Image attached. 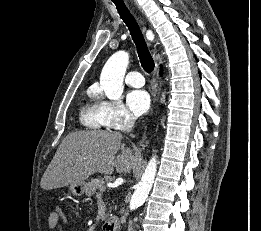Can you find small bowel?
<instances>
[{
    "label": "small bowel",
    "instance_id": "c3829d8e",
    "mask_svg": "<svg viewBox=\"0 0 261 231\" xmlns=\"http://www.w3.org/2000/svg\"><path fill=\"white\" fill-rule=\"evenodd\" d=\"M60 222L62 223L66 222L65 216L60 210H55L48 215L47 224L49 229L51 230L56 229Z\"/></svg>",
    "mask_w": 261,
    "mask_h": 231
}]
</instances>
